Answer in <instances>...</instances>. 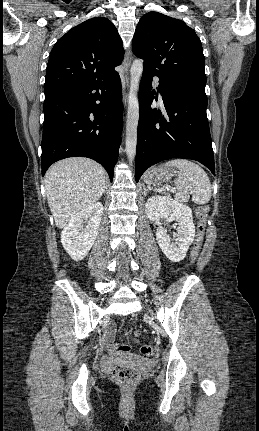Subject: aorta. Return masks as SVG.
<instances>
[{"label": "aorta", "mask_w": 259, "mask_h": 431, "mask_svg": "<svg viewBox=\"0 0 259 431\" xmlns=\"http://www.w3.org/2000/svg\"><path fill=\"white\" fill-rule=\"evenodd\" d=\"M143 72V62L137 59L130 69V91L126 122V152L130 162L135 158L137 145V126L139 119L138 89Z\"/></svg>", "instance_id": "1"}]
</instances>
